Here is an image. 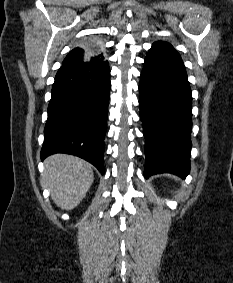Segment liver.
Masks as SVG:
<instances>
[{"instance_id":"obj_1","label":"liver","mask_w":233,"mask_h":283,"mask_svg":"<svg viewBox=\"0 0 233 283\" xmlns=\"http://www.w3.org/2000/svg\"><path fill=\"white\" fill-rule=\"evenodd\" d=\"M94 180L91 165L67 154H54L44 161L42 183L50 191L53 202L63 210L80 204Z\"/></svg>"}]
</instances>
